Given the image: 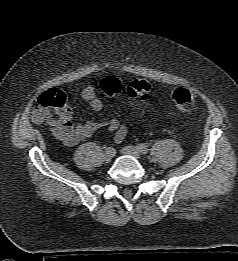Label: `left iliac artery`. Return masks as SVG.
Here are the masks:
<instances>
[{
  "instance_id": "left-iliac-artery-1",
  "label": "left iliac artery",
  "mask_w": 238,
  "mask_h": 261,
  "mask_svg": "<svg viewBox=\"0 0 238 261\" xmlns=\"http://www.w3.org/2000/svg\"><path fill=\"white\" fill-rule=\"evenodd\" d=\"M137 149L139 150V152H140L141 154H147L148 151H149L148 146L145 145V144H138V145H137Z\"/></svg>"
}]
</instances>
